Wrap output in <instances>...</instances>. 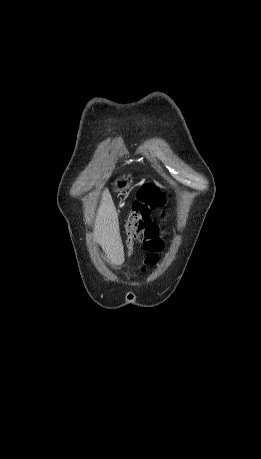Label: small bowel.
<instances>
[{
    "instance_id": "c3829d8e",
    "label": "small bowel",
    "mask_w": 261,
    "mask_h": 459,
    "mask_svg": "<svg viewBox=\"0 0 261 459\" xmlns=\"http://www.w3.org/2000/svg\"><path fill=\"white\" fill-rule=\"evenodd\" d=\"M135 240L140 242L148 252L144 266L142 267V271L146 272L149 267L154 266L158 262L159 252L164 247L163 239L161 236L159 238H138L136 234Z\"/></svg>"
}]
</instances>
